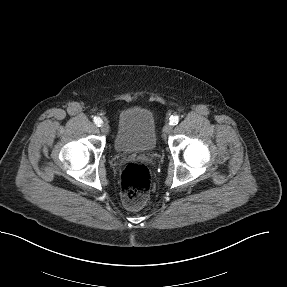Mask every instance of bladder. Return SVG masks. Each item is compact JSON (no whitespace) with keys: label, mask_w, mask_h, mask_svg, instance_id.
Here are the masks:
<instances>
[{"label":"bladder","mask_w":287,"mask_h":287,"mask_svg":"<svg viewBox=\"0 0 287 287\" xmlns=\"http://www.w3.org/2000/svg\"><path fill=\"white\" fill-rule=\"evenodd\" d=\"M157 143L152 112L140 106L122 110L119 114L114 148L120 154L149 153Z\"/></svg>","instance_id":"1"}]
</instances>
